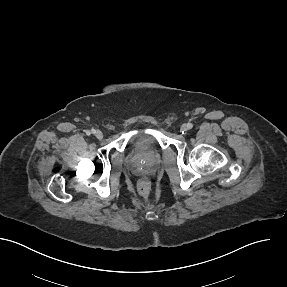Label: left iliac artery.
Returning a JSON list of instances; mask_svg holds the SVG:
<instances>
[{
  "mask_svg": "<svg viewBox=\"0 0 287 287\" xmlns=\"http://www.w3.org/2000/svg\"><path fill=\"white\" fill-rule=\"evenodd\" d=\"M187 126H188V129H192L193 124L192 123H188Z\"/></svg>",
  "mask_w": 287,
  "mask_h": 287,
  "instance_id": "1",
  "label": "left iliac artery"
}]
</instances>
